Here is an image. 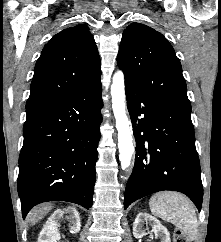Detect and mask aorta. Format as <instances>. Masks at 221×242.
I'll return each mask as SVG.
<instances>
[{
    "label": "aorta",
    "instance_id": "obj_1",
    "mask_svg": "<svg viewBox=\"0 0 221 242\" xmlns=\"http://www.w3.org/2000/svg\"><path fill=\"white\" fill-rule=\"evenodd\" d=\"M110 94L112 98V109L116 119V128L118 131L119 159L121 162V168L126 170L131 164L134 145L130 123L126 114L124 74L120 70L113 75Z\"/></svg>",
    "mask_w": 221,
    "mask_h": 242
}]
</instances>
